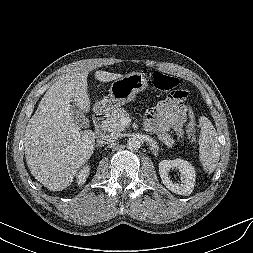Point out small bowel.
<instances>
[{
	"instance_id": "1",
	"label": "small bowel",
	"mask_w": 253,
	"mask_h": 253,
	"mask_svg": "<svg viewBox=\"0 0 253 253\" xmlns=\"http://www.w3.org/2000/svg\"><path fill=\"white\" fill-rule=\"evenodd\" d=\"M182 100L169 96L151 108L147 113L150 128L161 133L174 129L179 137H183L184 127L191 122L188 120L189 109L179 105Z\"/></svg>"
}]
</instances>
